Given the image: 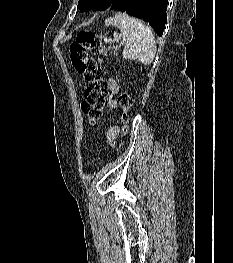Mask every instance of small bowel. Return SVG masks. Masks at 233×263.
I'll return each instance as SVG.
<instances>
[{"label": "small bowel", "mask_w": 233, "mask_h": 263, "mask_svg": "<svg viewBox=\"0 0 233 263\" xmlns=\"http://www.w3.org/2000/svg\"><path fill=\"white\" fill-rule=\"evenodd\" d=\"M107 88L109 92L108 96V107L110 109L116 108V101L113 99V96L118 93L119 86L118 82L114 78H109L107 80ZM120 134V127L118 124H113L110 126L106 132V140L109 144L114 145L117 137Z\"/></svg>", "instance_id": "1"}]
</instances>
